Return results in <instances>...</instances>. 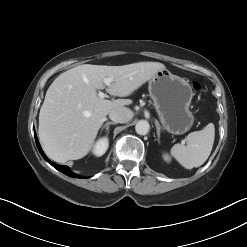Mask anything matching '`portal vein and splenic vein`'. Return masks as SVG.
<instances>
[{
  "instance_id": "portal-vein-and-splenic-vein-1",
  "label": "portal vein and splenic vein",
  "mask_w": 247,
  "mask_h": 247,
  "mask_svg": "<svg viewBox=\"0 0 247 247\" xmlns=\"http://www.w3.org/2000/svg\"><path fill=\"white\" fill-rule=\"evenodd\" d=\"M114 81V78H105L104 79V83L107 85V86H110L111 85V83ZM98 96L100 97V98H105L107 95L105 94V93H103V92H99L98 93ZM183 143H184V141H183Z\"/></svg>"
}]
</instances>
